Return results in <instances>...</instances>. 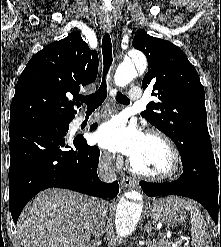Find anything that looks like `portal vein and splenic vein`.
I'll return each mask as SVG.
<instances>
[{
  "label": "portal vein and splenic vein",
  "instance_id": "portal-vein-and-splenic-vein-1",
  "mask_svg": "<svg viewBox=\"0 0 221 247\" xmlns=\"http://www.w3.org/2000/svg\"><path fill=\"white\" fill-rule=\"evenodd\" d=\"M169 237V236H168ZM184 238L183 237H181V239L179 240V242H181V240H183Z\"/></svg>",
  "mask_w": 221,
  "mask_h": 247
}]
</instances>
